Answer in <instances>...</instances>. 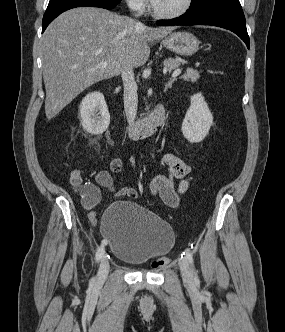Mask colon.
I'll use <instances>...</instances> for the list:
<instances>
[{"instance_id":"obj_1","label":"colon","mask_w":285,"mask_h":332,"mask_svg":"<svg viewBox=\"0 0 285 332\" xmlns=\"http://www.w3.org/2000/svg\"><path fill=\"white\" fill-rule=\"evenodd\" d=\"M168 263V259L165 258V257H162V258H159V259H156L154 262H153V266L154 267H162L164 266L165 264Z\"/></svg>"}]
</instances>
